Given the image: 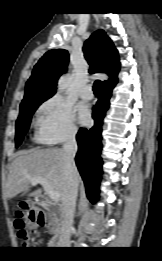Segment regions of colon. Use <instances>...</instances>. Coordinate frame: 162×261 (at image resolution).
Segmentation results:
<instances>
[{
	"label": "colon",
	"mask_w": 162,
	"mask_h": 261,
	"mask_svg": "<svg viewBox=\"0 0 162 261\" xmlns=\"http://www.w3.org/2000/svg\"><path fill=\"white\" fill-rule=\"evenodd\" d=\"M44 222V214L42 210L35 207L25 205L17 212L15 227L18 236L26 239L30 234H34L38 227H42Z\"/></svg>",
	"instance_id": "colon-1"
}]
</instances>
